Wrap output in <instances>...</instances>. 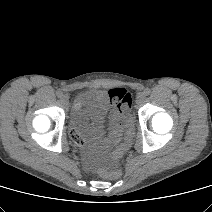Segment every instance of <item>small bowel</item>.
<instances>
[{
	"label": "small bowel",
	"instance_id": "small-bowel-1",
	"mask_svg": "<svg viewBox=\"0 0 212 212\" xmlns=\"http://www.w3.org/2000/svg\"><path fill=\"white\" fill-rule=\"evenodd\" d=\"M110 91L108 93L101 92L97 95L95 103L90 108L88 115V120L92 122L93 131L100 135L104 132L105 118L108 115V134L104 139V145L106 147L119 143L122 138L120 113L116 110L110 111L108 105V100L115 103L110 98ZM73 135L80 138L77 132H73Z\"/></svg>",
	"mask_w": 212,
	"mask_h": 212
}]
</instances>
